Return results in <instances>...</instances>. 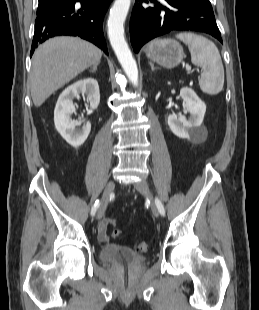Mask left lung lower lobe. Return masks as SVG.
I'll use <instances>...</instances> for the list:
<instances>
[{
	"label": "left lung lower lobe",
	"mask_w": 259,
	"mask_h": 310,
	"mask_svg": "<svg viewBox=\"0 0 259 310\" xmlns=\"http://www.w3.org/2000/svg\"><path fill=\"white\" fill-rule=\"evenodd\" d=\"M136 0L130 21V40L136 53L149 40L173 30L205 32L222 42L209 0ZM142 2L154 6L143 7Z\"/></svg>",
	"instance_id": "left-lung-lower-lobe-1"
}]
</instances>
